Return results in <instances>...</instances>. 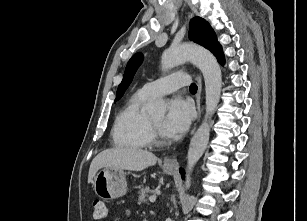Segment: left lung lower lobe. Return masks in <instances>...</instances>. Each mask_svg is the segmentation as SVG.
I'll use <instances>...</instances> for the list:
<instances>
[{
    "label": "left lung lower lobe",
    "mask_w": 307,
    "mask_h": 221,
    "mask_svg": "<svg viewBox=\"0 0 307 221\" xmlns=\"http://www.w3.org/2000/svg\"><path fill=\"white\" fill-rule=\"evenodd\" d=\"M221 64H224V56L222 58H220L218 60ZM180 173L182 175V178L184 179V170L183 169H180Z\"/></svg>",
    "instance_id": "1"
}]
</instances>
